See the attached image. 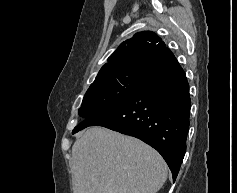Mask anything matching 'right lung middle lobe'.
Instances as JSON below:
<instances>
[{"instance_id":"obj_1","label":"right lung middle lobe","mask_w":237,"mask_h":193,"mask_svg":"<svg viewBox=\"0 0 237 193\" xmlns=\"http://www.w3.org/2000/svg\"><path fill=\"white\" fill-rule=\"evenodd\" d=\"M144 75L145 72H130L93 82L83 98L79 115L86 120L120 105L136 91Z\"/></svg>"}]
</instances>
